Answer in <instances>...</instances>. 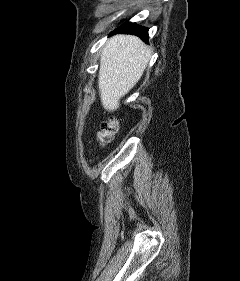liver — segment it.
I'll list each match as a JSON object with an SVG mask.
<instances>
[{"label":"liver","mask_w":240,"mask_h":281,"mask_svg":"<svg viewBox=\"0 0 240 281\" xmlns=\"http://www.w3.org/2000/svg\"><path fill=\"white\" fill-rule=\"evenodd\" d=\"M152 49L133 35H116L102 49L98 87L105 110L115 111L120 99L140 80Z\"/></svg>","instance_id":"liver-1"}]
</instances>
